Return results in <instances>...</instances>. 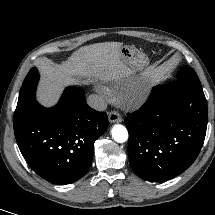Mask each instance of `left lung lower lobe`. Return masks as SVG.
I'll return each instance as SVG.
<instances>
[{"mask_svg": "<svg viewBox=\"0 0 215 215\" xmlns=\"http://www.w3.org/2000/svg\"><path fill=\"white\" fill-rule=\"evenodd\" d=\"M207 120L201 86L177 81L154 87L144 105L125 118L132 170L150 182L179 175L197 158Z\"/></svg>", "mask_w": 215, "mask_h": 215, "instance_id": "left-lung-lower-lobe-1", "label": "left lung lower lobe"}]
</instances>
